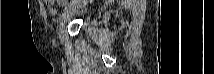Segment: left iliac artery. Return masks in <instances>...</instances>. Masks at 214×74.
I'll return each mask as SVG.
<instances>
[{
	"mask_svg": "<svg viewBox=\"0 0 214 74\" xmlns=\"http://www.w3.org/2000/svg\"><path fill=\"white\" fill-rule=\"evenodd\" d=\"M75 3H77V1L76 0H73L68 6H66L65 8H64V10H63V14L67 11V10H69ZM62 14V15H63Z\"/></svg>",
	"mask_w": 214,
	"mask_h": 74,
	"instance_id": "44dca946",
	"label": "left iliac artery"
}]
</instances>
